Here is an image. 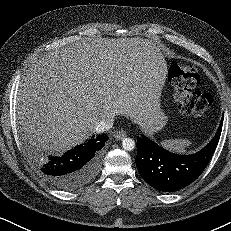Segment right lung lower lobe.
<instances>
[{
  "label": "right lung lower lobe",
  "mask_w": 231,
  "mask_h": 231,
  "mask_svg": "<svg viewBox=\"0 0 231 231\" xmlns=\"http://www.w3.org/2000/svg\"><path fill=\"white\" fill-rule=\"evenodd\" d=\"M107 135H98L62 155L37 158L34 162L39 175L52 186L72 191L89 183L101 165L102 148Z\"/></svg>",
  "instance_id": "right-lung-lower-lobe-1"
}]
</instances>
